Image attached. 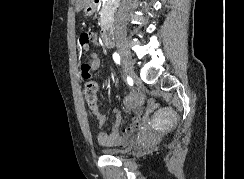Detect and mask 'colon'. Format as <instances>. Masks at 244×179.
Masks as SVG:
<instances>
[{
    "instance_id": "colon-1",
    "label": "colon",
    "mask_w": 244,
    "mask_h": 179,
    "mask_svg": "<svg viewBox=\"0 0 244 179\" xmlns=\"http://www.w3.org/2000/svg\"><path fill=\"white\" fill-rule=\"evenodd\" d=\"M83 95L85 100L90 104H95L98 98V84L94 80H89L88 76H86ZM147 101H156V96H147Z\"/></svg>"
}]
</instances>
